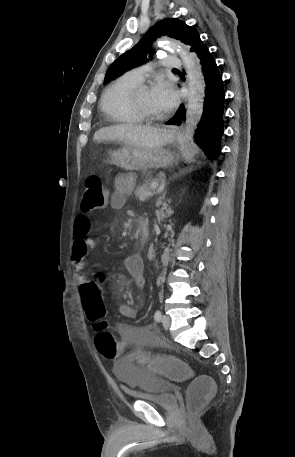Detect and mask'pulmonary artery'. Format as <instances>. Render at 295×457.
I'll return each mask as SVG.
<instances>
[{
  "instance_id": "1",
  "label": "pulmonary artery",
  "mask_w": 295,
  "mask_h": 457,
  "mask_svg": "<svg viewBox=\"0 0 295 457\" xmlns=\"http://www.w3.org/2000/svg\"><path fill=\"white\" fill-rule=\"evenodd\" d=\"M161 65L167 69L176 70V69H180L182 67V61L176 56H166L161 61ZM150 68L151 67L149 65L138 67V68L131 70L128 74L131 77H133L134 79L141 82L145 78V76H146L147 72L150 70Z\"/></svg>"
}]
</instances>
